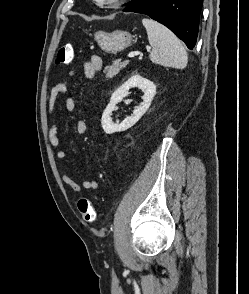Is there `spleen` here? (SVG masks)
Masks as SVG:
<instances>
[{"instance_id":"3e777b00","label":"spleen","mask_w":249,"mask_h":294,"mask_svg":"<svg viewBox=\"0 0 249 294\" xmlns=\"http://www.w3.org/2000/svg\"><path fill=\"white\" fill-rule=\"evenodd\" d=\"M142 23L153 48L149 56L150 60L162 66L185 68L188 62L187 53L174 33L153 19L144 18Z\"/></svg>"}]
</instances>
